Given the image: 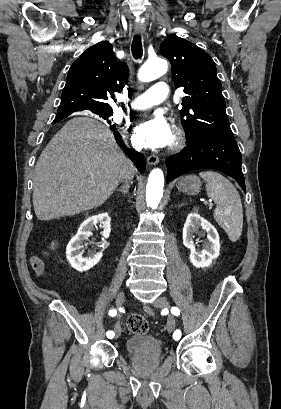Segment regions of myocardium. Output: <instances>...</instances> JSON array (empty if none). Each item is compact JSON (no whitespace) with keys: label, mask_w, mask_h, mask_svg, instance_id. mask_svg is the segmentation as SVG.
<instances>
[{"label":"myocardium","mask_w":281,"mask_h":409,"mask_svg":"<svg viewBox=\"0 0 281 409\" xmlns=\"http://www.w3.org/2000/svg\"><path fill=\"white\" fill-rule=\"evenodd\" d=\"M186 136L182 129L174 128L172 131V139L169 143L168 150L170 152H176L181 149L185 143Z\"/></svg>","instance_id":"f54148a6"}]
</instances>
